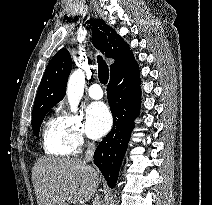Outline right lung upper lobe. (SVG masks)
Here are the masks:
<instances>
[{
    "label": "right lung upper lobe",
    "instance_id": "right-lung-upper-lobe-1",
    "mask_svg": "<svg viewBox=\"0 0 212 205\" xmlns=\"http://www.w3.org/2000/svg\"><path fill=\"white\" fill-rule=\"evenodd\" d=\"M92 42L106 57L115 59L110 66L111 74L134 60L129 45L102 19L94 21ZM71 69V56L67 49H61L46 67L35 98L34 108L56 105L64 98Z\"/></svg>",
    "mask_w": 212,
    "mask_h": 205
}]
</instances>
